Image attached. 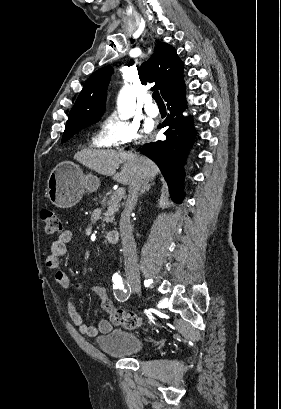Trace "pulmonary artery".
I'll return each mask as SVG.
<instances>
[{"instance_id": "pulmonary-artery-1", "label": "pulmonary artery", "mask_w": 281, "mask_h": 409, "mask_svg": "<svg viewBox=\"0 0 281 409\" xmlns=\"http://www.w3.org/2000/svg\"><path fill=\"white\" fill-rule=\"evenodd\" d=\"M146 111L147 113L151 116V117H157L159 115V110L158 105L156 102H147L145 105Z\"/></svg>"}]
</instances>
